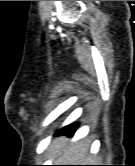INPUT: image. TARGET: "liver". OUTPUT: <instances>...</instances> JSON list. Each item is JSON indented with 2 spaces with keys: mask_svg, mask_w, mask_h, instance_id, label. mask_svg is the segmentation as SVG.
I'll return each mask as SVG.
<instances>
[{
  "mask_svg": "<svg viewBox=\"0 0 135 166\" xmlns=\"http://www.w3.org/2000/svg\"><path fill=\"white\" fill-rule=\"evenodd\" d=\"M68 138L58 137L49 145V158L55 157L59 165H86L94 163L95 159L89 155V143L78 141L67 147Z\"/></svg>",
  "mask_w": 135,
  "mask_h": 166,
  "instance_id": "liver-1",
  "label": "liver"
}]
</instances>
